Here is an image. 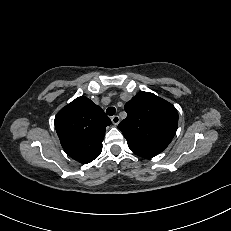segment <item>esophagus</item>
<instances>
[{
    "label": "esophagus",
    "mask_w": 231,
    "mask_h": 231,
    "mask_svg": "<svg viewBox=\"0 0 231 231\" xmlns=\"http://www.w3.org/2000/svg\"><path fill=\"white\" fill-rule=\"evenodd\" d=\"M111 121H112V123L116 126V125L119 124L120 118H119L118 115H114V116L111 117Z\"/></svg>",
    "instance_id": "34e87169"
}]
</instances>
